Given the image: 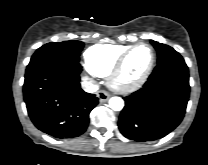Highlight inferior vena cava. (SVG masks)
I'll list each match as a JSON object with an SVG mask.
<instances>
[{
	"label": "inferior vena cava",
	"instance_id": "obj_1",
	"mask_svg": "<svg viewBox=\"0 0 208 165\" xmlns=\"http://www.w3.org/2000/svg\"><path fill=\"white\" fill-rule=\"evenodd\" d=\"M83 89L88 93H94L98 90V85L93 84L91 81L84 79L82 82Z\"/></svg>",
	"mask_w": 208,
	"mask_h": 165
}]
</instances>
